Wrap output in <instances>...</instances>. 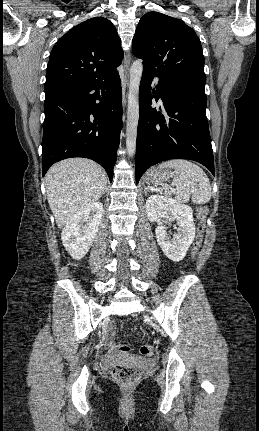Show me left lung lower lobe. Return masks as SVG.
I'll list each match as a JSON object with an SVG mask.
<instances>
[{
    "label": "left lung lower lobe",
    "instance_id": "1",
    "mask_svg": "<svg viewBox=\"0 0 259 431\" xmlns=\"http://www.w3.org/2000/svg\"><path fill=\"white\" fill-rule=\"evenodd\" d=\"M155 76L159 78L156 90L151 88ZM139 97L136 182L149 167L168 159L197 161L215 175L205 90L169 81L144 68ZM153 98L163 101L159 111L151 107Z\"/></svg>",
    "mask_w": 259,
    "mask_h": 431
}]
</instances>
